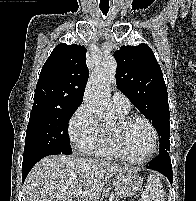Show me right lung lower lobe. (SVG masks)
<instances>
[{
    "instance_id": "right-lung-lower-lobe-1",
    "label": "right lung lower lobe",
    "mask_w": 196,
    "mask_h": 201,
    "mask_svg": "<svg viewBox=\"0 0 196 201\" xmlns=\"http://www.w3.org/2000/svg\"><path fill=\"white\" fill-rule=\"evenodd\" d=\"M53 154L70 155L69 153H65L56 149H42V150L33 151L25 155L23 158V164H22V180L23 181L25 180L29 171L39 160H41L45 156L53 155Z\"/></svg>"
}]
</instances>
